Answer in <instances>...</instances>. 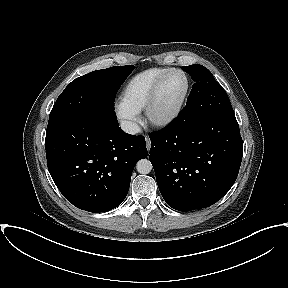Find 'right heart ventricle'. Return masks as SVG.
Listing matches in <instances>:
<instances>
[{
  "label": "right heart ventricle",
  "instance_id": "e07e8e85",
  "mask_svg": "<svg viewBox=\"0 0 288 288\" xmlns=\"http://www.w3.org/2000/svg\"><path fill=\"white\" fill-rule=\"evenodd\" d=\"M168 69L153 67L136 74L125 88L123 93L124 103L136 114L144 110L155 82Z\"/></svg>",
  "mask_w": 288,
  "mask_h": 288
}]
</instances>
